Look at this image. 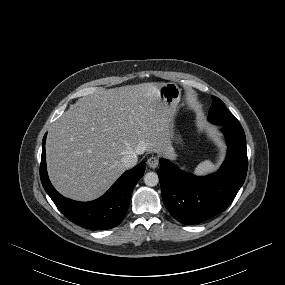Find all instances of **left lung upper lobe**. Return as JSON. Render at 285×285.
<instances>
[{"mask_svg":"<svg viewBox=\"0 0 285 285\" xmlns=\"http://www.w3.org/2000/svg\"><path fill=\"white\" fill-rule=\"evenodd\" d=\"M213 103L209 110L208 119L213 123L239 125L238 120L226 109L225 104L217 97L212 96Z\"/></svg>","mask_w":285,"mask_h":285,"instance_id":"1","label":"left lung upper lobe"}]
</instances>
